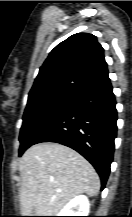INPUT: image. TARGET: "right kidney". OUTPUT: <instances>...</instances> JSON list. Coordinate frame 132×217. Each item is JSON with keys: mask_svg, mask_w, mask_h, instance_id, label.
<instances>
[{"mask_svg": "<svg viewBox=\"0 0 132 217\" xmlns=\"http://www.w3.org/2000/svg\"><path fill=\"white\" fill-rule=\"evenodd\" d=\"M90 208L89 200L84 195H79L70 200V202L61 210L58 216H88Z\"/></svg>", "mask_w": 132, "mask_h": 217, "instance_id": "right-kidney-1", "label": "right kidney"}]
</instances>
